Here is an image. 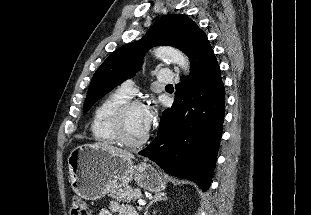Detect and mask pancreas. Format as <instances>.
I'll list each match as a JSON object with an SVG mask.
<instances>
[{
  "label": "pancreas",
  "instance_id": "1",
  "mask_svg": "<svg viewBox=\"0 0 311 215\" xmlns=\"http://www.w3.org/2000/svg\"><path fill=\"white\" fill-rule=\"evenodd\" d=\"M110 195L117 201L125 203H129L136 199L142 198V193L140 189L132 188L130 186H127L123 189H119L118 191H112Z\"/></svg>",
  "mask_w": 311,
  "mask_h": 215
}]
</instances>
